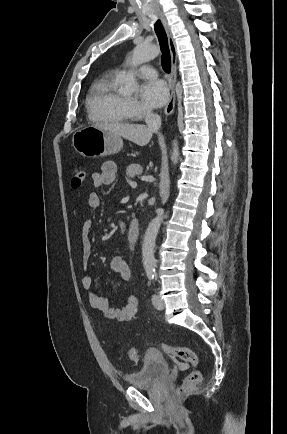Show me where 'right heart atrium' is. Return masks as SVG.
Returning a JSON list of instances; mask_svg holds the SVG:
<instances>
[{
  "mask_svg": "<svg viewBox=\"0 0 287 434\" xmlns=\"http://www.w3.org/2000/svg\"><path fill=\"white\" fill-rule=\"evenodd\" d=\"M126 107L132 116H139L148 111L144 105L131 98L126 99Z\"/></svg>",
  "mask_w": 287,
  "mask_h": 434,
  "instance_id": "right-heart-atrium-1",
  "label": "right heart atrium"
}]
</instances>
